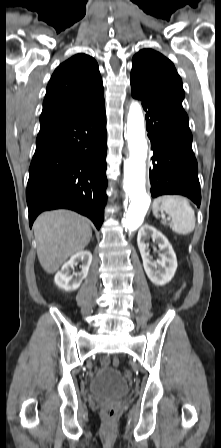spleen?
Instances as JSON below:
<instances>
[{
  "mask_svg": "<svg viewBox=\"0 0 221 448\" xmlns=\"http://www.w3.org/2000/svg\"><path fill=\"white\" fill-rule=\"evenodd\" d=\"M152 210L156 217L159 211H164L169 215L171 221L164 225H169L173 232L179 235L191 233L195 228V213L187 199L177 195H164L156 198L152 204Z\"/></svg>",
  "mask_w": 221,
  "mask_h": 448,
  "instance_id": "obj_1",
  "label": "spleen"
}]
</instances>
